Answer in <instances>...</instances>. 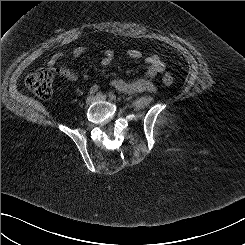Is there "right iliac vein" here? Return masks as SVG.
<instances>
[{"label":"right iliac vein","instance_id":"63e3f726","mask_svg":"<svg viewBox=\"0 0 245 245\" xmlns=\"http://www.w3.org/2000/svg\"><path fill=\"white\" fill-rule=\"evenodd\" d=\"M95 101V98L93 96H88L86 99V105L89 106Z\"/></svg>","mask_w":245,"mask_h":245}]
</instances>
